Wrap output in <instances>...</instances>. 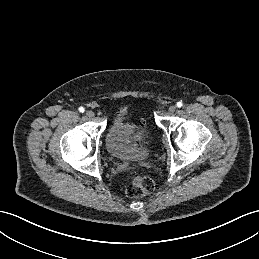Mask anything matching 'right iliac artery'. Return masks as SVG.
<instances>
[{
  "instance_id": "1",
  "label": "right iliac artery",
  "mask_w": 259,
  "mask_h": 259,
  "mask_svg": "<svg viewBox=\"0 0 259 259\" xmlns=\"http://www.w3.org/2000/svg\"><path fill=\"white\" fill-rule=\"evenodd\" d=\"M79 111L83 113L85 111V109L83 107H80Z\"/></svg>"
}]
</instances>
